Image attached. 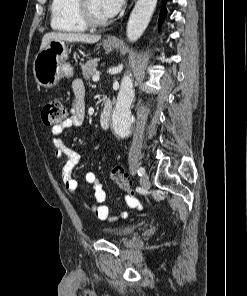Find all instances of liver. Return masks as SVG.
<instances>
[{
	"label": "liver",
	"instance_id": "6515ba94",
	"mask_svg": "<svg viewBox=\"0 0 247 296\" xmlns=\"http://www.w3.org/2000/svg\"><path fill=\"white\" fill-rule=\"evenodd\" d=\"M100 38H101L100 35L49 32L43 36L40 50L44 49L51 41L83 42V43L93 44L98 42Z\"/></svg>",
	"mask_w": 247,
	"mask_h": 296
}]
</instances>
